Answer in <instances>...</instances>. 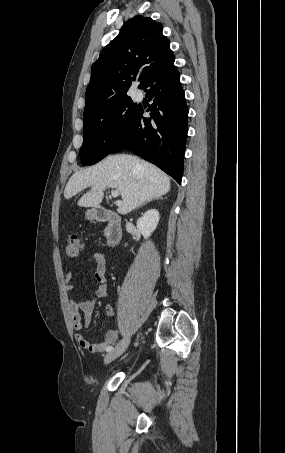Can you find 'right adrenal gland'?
Returning <instances> with one entry per match:
<instances>
[{
	"label": "right adrenal gland",
	"mask_w": 285,
	"mask_h": 453,
	"mask_svg": "<svg viewBox=\"0 0 285 453\" xmlns=\"http://www.w3.org/2000/svg\"><path fill=\"white\" fill-rule=\"evenodd\" d=\"M155 199H156V198L147 200L146 202H144V203H142L140 206H138L136 209L142 207L143 205H145V204H147V203H149V202H151L152 200H155Z\"/></svg>",
	"instance_id": "right-adrenal-gland-1"
}]
</instances>
